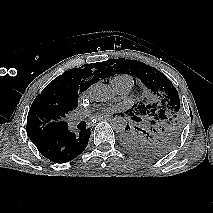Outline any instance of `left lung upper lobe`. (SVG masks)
<instances>
[{"label": "left lung upper lobe", "instance_id": "left-lung-upper-lobe-1", "mask_svg": "<svg viewBox=\"0 0 213 213\" xmlns=\"http://www.w3.org/2000/svg\"><path fill=\"white\" fill-rule=\"evenodd\" d=\"M105 77L126 73L138 78L153 94L151 104H135L129 115L139 122L137 127L127 124L123 133L124 146L133 154L147 158H159L177 144L184 116L180 109L179 95L172 82L156 68L135 60L112 59L100 63Z\"/></svg>", "mask_w": 213, "mask_h": 213}]
</instances>
